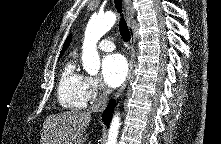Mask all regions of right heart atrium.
Listing matches in <instances>:
<instances>
[{
    "label": "right heart atrium",
    "mask_w": 221,
    "mask_h": 144,
    "mask_svg": "<svg viewBox=\"0 0 221 144\" xmlns=\"http://www.w3.org/2000/svg\"><path fill=\"white\" fill-rule=\"evenodd\" d=\"M104 92V86L98 78L92 76L85 77L84 93L87 101H96Z\"/></svg>",
    "instance_id": "obj_1"
}]
</instances>
